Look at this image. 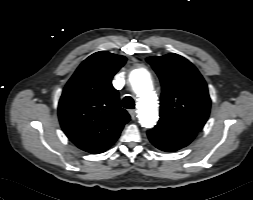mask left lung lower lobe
Listing matches in <instances>:
<instances>
[{
    "label": "left lung lower lobe",
    "instance_id": "1",
    "mask_svg": "<svg viewBox=\"0 0 253 200\" xmlns=\"http://www.w3.org/2000/svg\"><path fill=\"white\" fill-rule=\"evenodd\" d=\"M149 140L158 149L174 152L187 146L197 135L196 132L158 123L147 132Z\"/></svg>",
    "mask_w": 253,
    "mask_h": 200
}]
</instances>
